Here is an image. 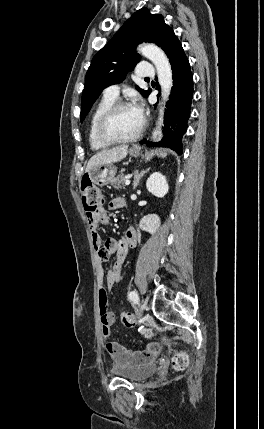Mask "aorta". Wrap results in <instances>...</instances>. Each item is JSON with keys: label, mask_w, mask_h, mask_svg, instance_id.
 <instances>
[{"label": "aorta", "mask_w": 264, "mask_h": 429, "mask_svg": "<svg viewBox=\"0 0 264 429\" xmlns=\"http://www.w3.org/2000/svg\"><path fill=\"white\" fill-rule=\"evenodd\" d=\"M138 51L146 58H148L155 65L158 75V81L161 87L162 104L168 100L170 91L173 85L172 70L169 60L162 49L154 44H143L139 47ZM164 107L160 110V117L158 125L163 121ZM160 129L157 127L153 132V139H157L160 135Z\"/></svg>", "instance_id": "762f6f07"}]
</instances>
